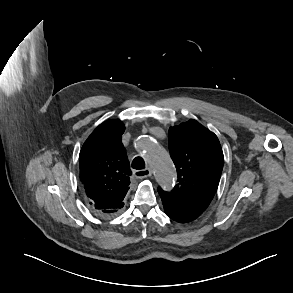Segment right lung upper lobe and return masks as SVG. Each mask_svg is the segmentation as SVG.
Listing matches in <instances>:
<instances>
[{"label": "right lung upper lobe", "mask_w": 293, "mask_h": 293, "mask_svg": "<svg viewBox=\"0 0 293 293\" xmlns=\"http://www.w3.org/2000/svg\"><path fill=\"white\" fill-rule=\"evenodd\" d=\"M124 131L125 127L119 120L103 122L80 151V178L87 201L99 212L122 208L129 190L131 171L121 143Z\"/></svg>", "instance_id": "1"}]
</instances>
